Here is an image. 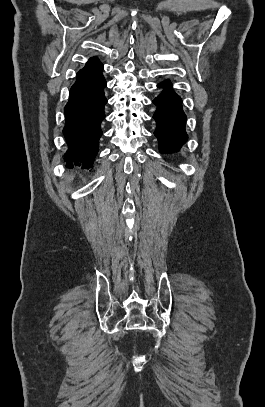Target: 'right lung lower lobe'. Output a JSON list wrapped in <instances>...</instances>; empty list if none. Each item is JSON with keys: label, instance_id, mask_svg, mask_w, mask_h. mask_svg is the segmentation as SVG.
<instances>
[{"label": "right lung lower lobe", "instance_id": "98d812e1", "mask_svg": "<svg viewBox=\"0 0 265 407\" xmlns=\"http://www.w3.org/2000/svg\"><path fill=\"white\" fill-rule=\"evenodd\" d=\"M103 64L97 57L88 60L77 73L72 85L68 103L65 106V127L63 134L69 149L65 160L69 167L73 163L89 168L98 152L102 135L100 124L105 118L104 106L107 99L104 88L107 82L102 74Z\"/></svg>", "mask_w": 265, "mask_h": 407}]
</instances>
